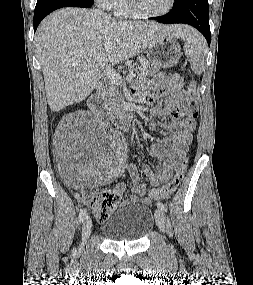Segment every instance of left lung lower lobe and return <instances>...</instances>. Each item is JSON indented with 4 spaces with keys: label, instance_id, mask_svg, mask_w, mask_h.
<instances>
[{
    "label": "left lung lower lobe",
    "instance_id": "left-lung-lower-lobe-1",
    "mask_svg": "<svg viewBox=\"0 0 253 285\" xmlns=\"http://www.w3.org/2000/svg\"><path fill=\"white\" fill-rule=\"evenodd\" d=\"M173 10L164 16L150 19L161 23H185L197 28L211 42L208 0H176Z\"/></svg>",
    "mask_w": 253,
    "mask_h": 285
}]
</instances>
